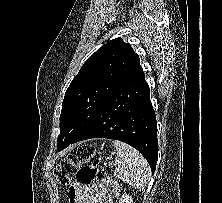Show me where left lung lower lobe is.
I'll use <instances>...</instances> for the list:
<instances>
[{"instance_id": "obj_1", "label": "left lung lower lobe", "mask_w": 222, "mask_h": 203, "mask_svg": "<svg viewBox=\"0 0 222 203\" xmlns=\"http://www.w3.org/2000/svg\"><path fill=\"white\" fill-rule=\"evenodd\" d=\"M90 138H109L131 145L146 158L152 173L155 171L158 156L156 117L150 102L149 86L140 65L106 99L83 131L72 142L57 150Z\"/></svg>"}]
</instances>
